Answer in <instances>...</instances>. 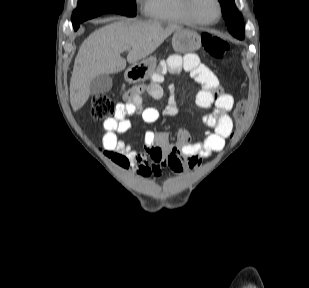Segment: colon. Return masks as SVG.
Wrapping results in <instances>:
<instances>
[{"label": "colon", "mask_w": 309, "mask_h": 288, "mask_svg": "<svg viewBox=\"0 0 309 288\" xmlns=\"http://www.w3.org/2000/svg\"><path fill=\"white\" fill-rule=\"evenodd\" d=\"M205 51L216 59H222L229 51V45L223 39L209 33H204L201 37ZM247 105L246 99L240 100L234 111V120L237 125L243 120V111ZM118 104H116L106 93H97L92 98L91 116L95 120L107 119L116 114ZM114 160L119 161L120 156L114 155Z\"/></svg>", "instance_id": "obj_1"}]
</instances>
